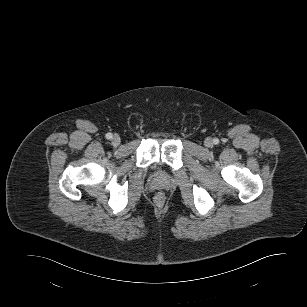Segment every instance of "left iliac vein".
Here are the masks:
<instances>
[{"label":"left iliac vein","instance_id":"4c4485c4","mask_svg":"<svg viewBox=\"0 0 307 307\" xmlns=\"http://www.w3.org/2000/svg\"><path fill=\"white\" fill-rule=\"evenodd\" d=\"M205 145L208 146V147L211 146L212 145L211 139H206Z\"/></svg>","mask_w":307,"mask_h":307}]
</instances>
